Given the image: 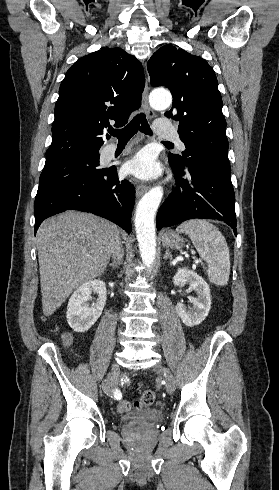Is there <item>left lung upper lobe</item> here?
Instances as JSON below:
<instances>
[{
    "label": "left lung upper lobe",
    "mask_w": 279,
    "mask_h": 490,
    "mask_svg": "<svg viewBox=\"0 0 279 490\" xmlns=\"http://www.w3.org/2000/svg\"><path fill=\"white\" fill-rule=\"evenodd\" d=\"M151 85L165 86L173 105L165 115L179 122L178 133L186 150L169 161L184 167L188 161L209 158L227 166L228 140L222 113V98L214 70L201 57L165 45L148 61Z\"/></svg>",
    "instance_id": "5c2ea615"
}]
</instances>
